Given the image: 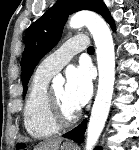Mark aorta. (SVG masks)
Masks as SVG:
<instances>
[{
  "mask_svg": "<svg viewBox=\"0 0 139 150\" xmlns=\"http://www.w3.org/2000/svg\"><path fill=\"white\" fill-rule=\"evenodd\" d=\"M69 25L71 28L86 26L96 45L99 71L98 89L87 127L85 150H93L107 120L115 81V51L111 31L105 20L92 11L74 14Z\"/></svg>",
  "mask_w": 139,
  "mask_h": 150,
  "instance_id": "obj_1",
  "label": "aorta"
}]
</instances>
